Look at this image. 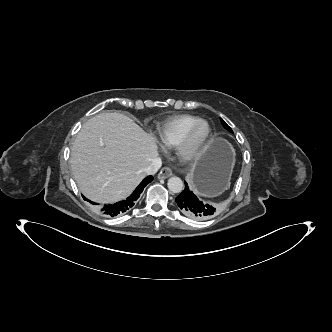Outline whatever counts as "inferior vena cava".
I'll return each instance as SVG.
<instances>
[{
  "instance_id": "602c4592",
  "label": "inferior vena cava",
  "mask_w": 332,
  "mask_h": 332,
  "mask_svg": "<svg viewBox=\"0 0 332 332\" xmlns=\"http://www.w3.org/2000/svg\"><path fill=\"white\" fill-rule=\"evenodd\" d=\"M162 160L160 157L153 158L152 162L144 169L147 175H154L161 167Z\"/></svg>"
}]
</instances>
